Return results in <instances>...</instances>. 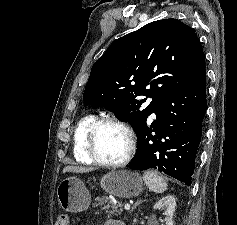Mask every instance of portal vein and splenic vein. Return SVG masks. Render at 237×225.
I'll use <instances>...</instances> for the list:
<instances>
[{
	"label": "portal vein and splenic vein",
	"instance_id": "1",
	"mask_svg": "<svg viewBox=\"0 0 237 225\" xmlns=\"http://www.w3.org/2000/svg\"><path fill=\"white\" fill-rule=\"evenodd\" d=\"M124 209L125 210H129L130 209V205L129 204H125Z\"/></svg>",
	"mask_w": 237,
	"mask_h": 225
}]
</instances>
